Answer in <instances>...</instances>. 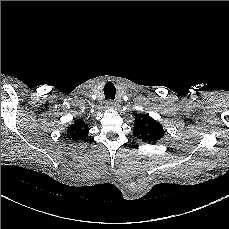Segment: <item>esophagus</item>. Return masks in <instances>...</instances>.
<instances>
[{
    "mask_svg": "<svg viewBox=\"0 0 229 229\" xmlns=\"http://www.w3.org/2000/svg\"><path fill=\"white\" fill-rule=\"evenodd\" d=\"M106 107L111 108V109H115L117 107V104H116V102H114L112 100H107L106 101Z\"/></svg>",
    "mask_w": 229,
    "mask_h": 229,
    "instance_id": "obj_1",
    "label": "esophagus"
}]
</instances>
